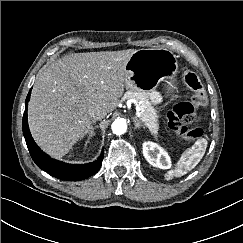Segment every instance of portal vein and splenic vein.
Returning a JSON list of instances; mask_svg holds the SVG:
<instances>
[{
  "instance_id": "1",
  "label": "portal vein and splenic vein",
  "mask_w": 243,
  "mask_h": 243,
  "mask_svg": "<svg viewBox=\"0 0 243 243\" xmlns=\"http://www.w3.org/2000/svg\"><path fill=\"white\" fill-rule=\"evenodd\" d=\"M136 116H137L138 118L141 117V112H140V108H139V107L136 109Z\"/></svg>"
}]
</instances>
